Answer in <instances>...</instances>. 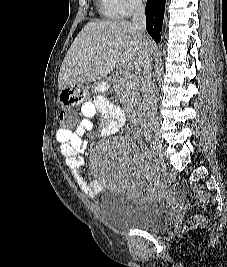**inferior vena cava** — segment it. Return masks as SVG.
Returning <instances> with one entry per match:
<instances>
[{
    "label": "inferior vena cava",
    "mask_w": 227,
    "mask_h": 267,
    "mask_svg": "<svg viewBox=\"0 0 227 267\" xmlns=\"http://www.w3.org/2000/svg\"><path fill=\"white\" fill-rule=\"evenodd\" d=\"M132 26L141 34L146 36L145 8L141 0L133 3ZM151 58L149 49H145V59L143 63V75L141 77V92L143 102L144 131L146 136L158 134L157 104L155 98V87L150 74Z\"/></svg>",
    "instance_id": "inferior-vena-cava-1"
}]
</instances>
